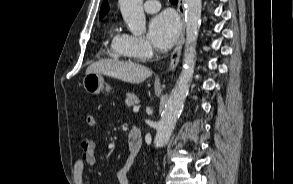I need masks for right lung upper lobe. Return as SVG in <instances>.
Here are the masks:
<instances>
[{
  "instance_id": "cb5924a9",
  "label": "right lung upper lobe",
  "mask_w": 293,
  "mask_h": 184,
  "mask_svg": "<svg viewBox=\"0 0 293 184\" xmlns=\"http://www.w3.org/2000/svg\"><path fill=\"white\" fill-rule=\"evenodd\" d=\"M109 11V6L107 1L105 0L101 6L100 17L104 16Z\"/></svg>"
}]
</instances>
